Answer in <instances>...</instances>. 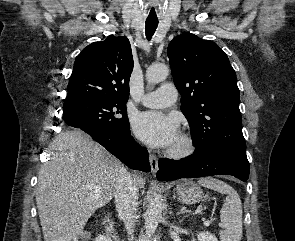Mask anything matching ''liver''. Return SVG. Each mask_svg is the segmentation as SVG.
<instances>
[{
  "label": "liver",
  "mask_w": 295,
  "mask_h": 241,
  "mask_svg": "<svg viewBox=\"0 0 295 241\" xmlns=\"http://www.w3.org/2000/svg\"><path fill=\"white\" fill-rule=\"evenodd\" d=\"M51 150L36 188L44 241H78L92 214L113 198L115 175L122 165L81 131L59 134ZM133 180L138 188L144 186L141 176L133 175Z\"/></svg>",
  "instance_id": "obj_1"
}]
</instances>
